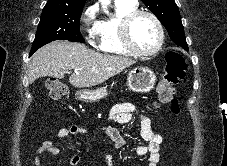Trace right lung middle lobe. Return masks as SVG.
I'll return each instance as SVG.
<instances>
[{
    "label": "right lung middle lobe",
    "instance_id": "right-lung-middle-lobe-1",
    "mask_svg": "<svg viewBox=\"0 0 227 166\" xmlns=\"http://www.w3.org/2000/svg\"><path fill=\"white\" fill-rule=\"evenodd\" d=\"M80 10H43L38 24L31 54L54 40H68L84 43L79 25Z\"/></svg>",
    "mask_w": 227,
    "mask_h": 166
}]
</instances>
